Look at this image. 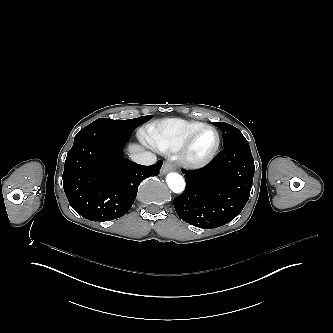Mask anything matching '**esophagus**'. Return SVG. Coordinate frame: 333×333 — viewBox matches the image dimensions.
Segmentation results:
<instances>
[{
    "label": "esophagus",
    "instance_id": "obj_1",
    "mask_svg": "<svg viewBox=\"0 0 333 333\" xmlns=\"http://www.w3.org/2000/svg\"><path fill=\"white\" fill-rule=\"evenodd\" d=\"M175 168L174 166V162L170 161V160H167L165 161L162 169H161V174L164 175L166 174L168 171H171Z\"/></svg>",
    "mask_w": 333,
    "mask_h": 333
}]
</instances>
